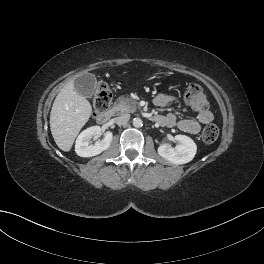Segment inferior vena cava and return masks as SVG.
Instances as JSON below:
<instances>
[{
  "label": "inferior vena cava",
  "mask_w": 264,
  "mask_h": 264,
  "mask_svg": "<svg viewBox=\"0 0 264 264\" xmlns=\"http://www.w3.org/2000/svg\"><path fill=\"white\" fill-rule=\"evenodd\" d=\"M130 119V115L129 114H123L119 117H116L114 119V121L118 124V125H123L125 123H127V121Z\"/></svg>",
  "instance_id": "1"
}]
</instances>
